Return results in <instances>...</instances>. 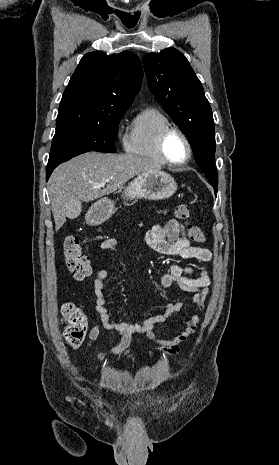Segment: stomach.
<instances>
[{
    "label": "stomach",
    "instance_id": "1",
    "mask_svg": "<svg viewBox=\"0 0 279 465\" xmlns=\"http://www.w3.org/2000/svg\"><path fill=\"white\" fill-rule=\"evenodd\" d=\"M178 185L174 178L161 171L146 172L138 175L123 190L125 199L162 200L171 197L177 191ZM116 211L115 202L102 198L95 202L86 214V222L99 225L110 218Z\"/></svg>",
    "mask_w": 279,
    "mask_h": 465
}]
</instances>
